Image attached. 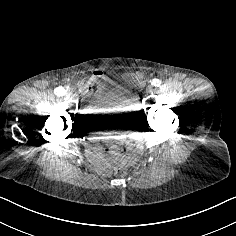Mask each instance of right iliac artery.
<instances>
[{
    "mask_svg": "<svg viewBox=\"0 0 236 236\" xmlns=\"http://www.w3.org/2000/svg\"><path fill=\"white\" fill-rule=\"evenodd\" d=\"M54 93L56 96L60 97L66 94V90L62 86H59L54 89Z\"/></svg>",
    "mask_w": 236,
    "mask_h": 236,
    "instance_id": "1",
    "label": "right iliac artery"
}]
</instances>
